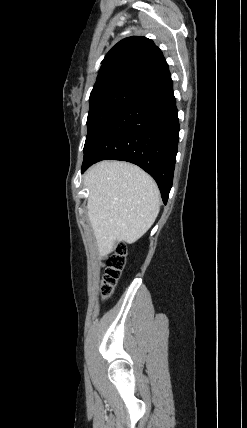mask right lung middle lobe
<instances>
[{
	"label": "right lung middle lobe",
	"instance_id": "obj_1",
	"mask_svg": "<svg viewBox=\"0 0 247 428\" xmlns=\"http://www.w3.org/2000/svg\"><path fill=\"white\" fill-rule=\"evenodd\" d=\"M139 93L126 88H113L90 95V108L87 117L88 133L84 153L102 129Z\"/></svg>",
	"mask_w": 247,
	"mask_h": 428
}]
</instances>
